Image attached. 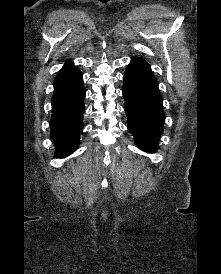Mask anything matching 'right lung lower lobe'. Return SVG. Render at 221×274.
I'll use <instances>...</instances> for the list:
<instances>
[{
  "label": "right lung lower lobe",
  "instance_id": "right-lung-lower-lobe-1",
  "mask_svg": "<svg viewBox=\"0 0 221 274\" xmlns=\"http://www.w3.org/2000/svg\"><path fill=\"white\" fill-rule=\"evenodd\" d=\"M53 84L50 134L56 149L55 156L64 158L78 147L83 129V74L72 62H68L59 71Z\"/></svg>",
  "mask_w": 221,
  "mask_h": 274
}]
</instances>
